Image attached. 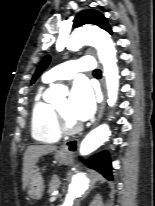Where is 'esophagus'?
<instances>
[{"label":"esophagus","mask_w":155,"mask_h":206,"mask_svg":"<svg viewBox=\"0 0 155 206\" xmlns=\"http://www.w3.org/2000/svg\"><path fill=\"white\" fill-rule=\"evenodd\" d=\"M102 93H103V98H102V101L99 105L98 114H97V118H96L94 125H97L99 123V121L101 120L102 115H103V111L105 108L106 96H105L104 77L102 78ZM78 147H79V140L73 139V140L65 142L61 149H62V151L66 152V153H74L78 149Z\"/></svg>","instance_id":"obj_1"}]
</instances>
